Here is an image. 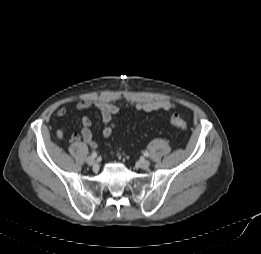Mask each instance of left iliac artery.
<instances>
[{
	"label": "left iliac artery",
	"instance_id": "1",
	"mask_svg": "<svg viewBox=\"0 0 261 254\" xmlns=\"http://www.w3.org/2000/svg\"><path fill=\"white\" fill-rule=\"evenodd\" d=\"M144 156L148 157L149 153L147 151L144 152Z\"/></svg>",
	"mask_w": 261,
	"mask_h": 254
}]
</instances>
